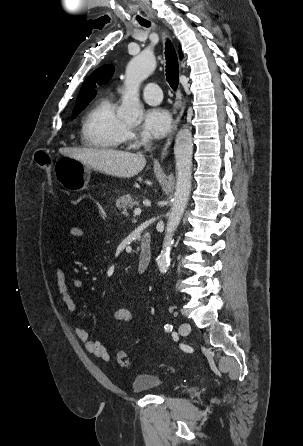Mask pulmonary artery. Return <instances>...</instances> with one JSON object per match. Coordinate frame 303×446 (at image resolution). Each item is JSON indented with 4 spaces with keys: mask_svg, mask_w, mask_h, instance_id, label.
I'll return each mask as SVG.
<instances>
[{
    "mask_svg": "<svg viewBox=\"0 0 303 446\" xmlns=\"http://www.w3.org/2000/svg\"><path fill=\"white\" fill-rule=\"evenodd\" d=\"M143 99L151 105L159 104L162 100V91L156 83H148L142 90Z\"/></svg>",
    "mask_w": 303,
    "mask_h": 446,
    "instance_id": "pulmonary-artery-1",
    "label": "pulmonary artery"
}]
</instances>
